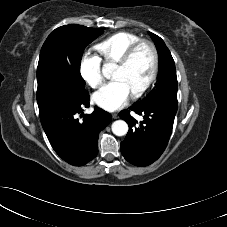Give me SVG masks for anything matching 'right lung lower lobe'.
<instances>
[{
	"label": "right lung lower lobe",
	"instance_id": "1",
	"mask_svg": "<svg viewBox=\"0 0 227 227\" xmlns=\"http://www.w3.org/2000/svg\"><path fill=\"white\" fill-rule=\"evenodd\" d=\"M89 107V93L59 98L39 107L40 120L55 152L67 163L82 166L98 153V137L111 121V115L95 107L92 114H84Z\"/></svg>",
	"mask_w": 227,
	"mask_h": 227
}]
</instances>
